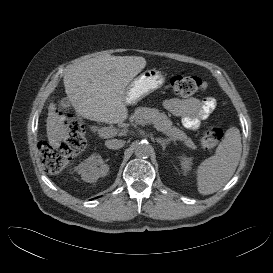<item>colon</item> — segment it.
<instances>
[{"instance_id":"obj_1","label":"colon","mask_w":273,"mask_h":273,"mask_svg":"<svg viewBox=\"0 0 273 273\" xmlns=\"http://www.w3.org/2000/svg\"><path fill=\"white\" fill-rule=\"evenodd\" d=\"M172 91L180 97H188L201 93L206 88V82L197 76L178 74L171 78ZM70 129L69 138L59 147L49 144L40 145V155L45 169L50 173L61 172L68 162L81 153L86 146V137L83 126L73 118H67ZM224 131L219 126H210L203 133L201 146L205 150L214 148L223 138Z\"/></svg>"}]
</instances>
